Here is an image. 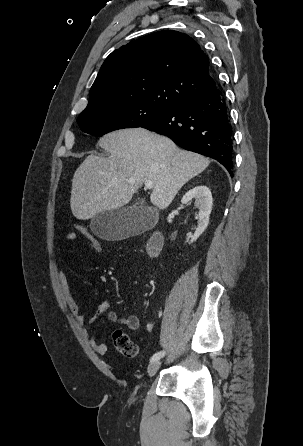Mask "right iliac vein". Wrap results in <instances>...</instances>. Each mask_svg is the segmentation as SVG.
I'll use <instances>...</instances> for the list:
<instances>
[{"label": "right iliac vein", "instance_id": "obj_1", "mask_svg": "<svg viewBox=\"0 0 303 446\" xmlns=\"http://www.w3.org/2000/svg\"><path fill=\"white\" fill-rule=\"evenodd\" d=\"M160 365H161V362L158 361V360H157V361H154V362H151V363L149 364L148 368H147L148 376H149V377L154 376V375L157 373V371L159 370Z\"/></svg>", "mask_w": 303, "mask_h": 446}]
</instances>
